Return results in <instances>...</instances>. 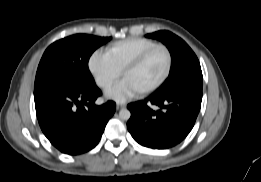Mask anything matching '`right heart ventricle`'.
<instances>
[{
    "label": "right heart ventricle",
    "instance_id": "e07e8e85",
    "mask_svg": "<svg viewBox=\"0 0 261 182\" xmlns=\"http://www.w3.org/2000/svg\"><path fill=\"white\" fill-rule=\"evenodd\" d=\"M156 44V42L147 38L130 37L109 44L105 53L114 66L122 72L140 53Z\"/></svg>",
    "mask_w": 261,
    "mask_h": 182
}]
</instances>
